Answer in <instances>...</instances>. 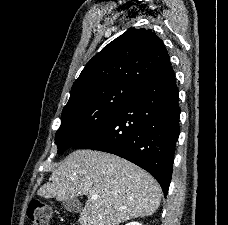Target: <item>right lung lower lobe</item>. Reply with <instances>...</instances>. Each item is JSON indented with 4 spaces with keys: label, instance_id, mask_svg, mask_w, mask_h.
<instances>
[{
    "label": "right lung lower lobe",
    "instance_id": "right-lung-lower-lobe-1",
    "mask_svg": "<svg viewBox=\"0 0 228 225\" xmlns=\"http://www.w3.org/2000/svg\"><path fill=\"white\" fill-rule=\"evenodd\" d=\"M178 98L169 63L72 147L104 151L133 162L155 177L166 196L179 136Z\"/></svg>",
    "mask_w": 228,
    "mask_h": 225
}]
</instances>
